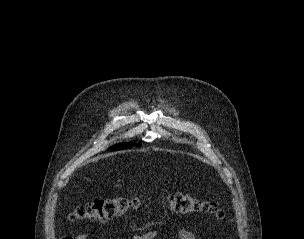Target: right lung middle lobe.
<instances>
[{"instance_id":"obj_1","label":"right lung middle lobe","mask_w":304,"mask_h":239,"mask_svg":"<svg viewBox=\"0 0 304 239\" xmlns=\"http://www.w3.org/2000/svg\"><path fill=\"white\" fill-rule=\"evenodd\" d=\"M134 146V143H119L116 144L112 147H110L108 150L110 151H116V150H121V149H128ZM136 146H140V144H137Z\"/></svg>"}]
</instances>
